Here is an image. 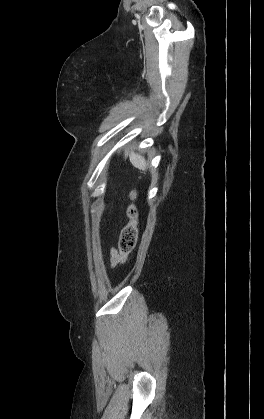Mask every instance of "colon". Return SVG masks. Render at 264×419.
Listing matches in <instances>:
<instances>
[{
	"label": "colon",
	"mask_w": 264,
	"mask_h": 419,
	"mask_svg": "<svg viewBox=\"0 0 264 419\" xmlns=\"http://www.w3.org/2000/svg\"><path fill=\"white\" fill-rule=\"evenodd\" d=\"M132 196H134V193H132ZM127 216L129 222L121 230L118 242L121 263L126 262L138 240V210L133 204L128 207Z\"/></svg>",
	"instance_id": "5ec220e1"
}]
</instances>
